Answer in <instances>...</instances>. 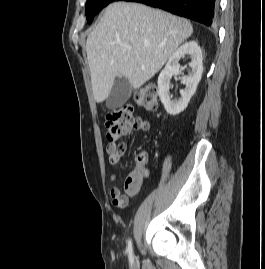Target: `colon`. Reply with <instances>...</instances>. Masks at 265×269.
Listing matches in <instances>:
<instances>
[{
  "instance_id": "colon-1",
  "label": "colon",
  "mask_w": 265,
  "mask_h": 269,
  "mask_svg": "<svg viewBox=\"0 0 265 269\" xmlns=\"http://www.w3.org/2000/svg\"><path fill=\"white\" fill-rule=\"evenodd\" d=\"M135 102L146 111H154L158 105V89L155 85H147L135 95ZM146 121L135 116L134 106L126 104L111 110L105 119L106 139L114 142L117 139L130 134L134 130H143ZM134 172L142 178L148 175L145 167V158L140 155L134 162Z\"/></svg>"
}]
</instances>
